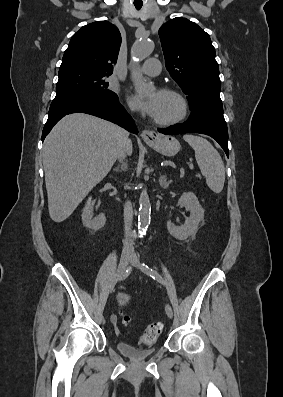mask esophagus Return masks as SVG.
<instances>
[{"instance_id": "1", "label": "esophagus", "mask_w": 283, "mask_h": 397, "mask_svg": "<svg viewBox=\"0 0 283 397\" xmlns=\"http://www.w3.org/2000/svg\"><path fill=\"white\" fill-rule=\"evenodd\" d=\"M141 137L146 142H154L158 138V134L155 131L143 130Z\"/></svg>"}]
</instances>
